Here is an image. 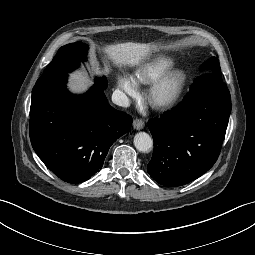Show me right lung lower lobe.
Segmentation results:
<instances>
[{
  "instance_id": "right-lung-lower-lobe-1",
  "label": "right lung lower lobe",
  "mask_w": 255,
  "mask_h": 255,
  "mask_svg": "<svg viewBox=\"0 0 255 255\" xmlns=\"http://www.w3.org/2000/svg\"><path fill=\"white\" fill-rule=\"evenodd\" d=\"M67 73L43 74L32 90L30 140L57 177L68 183L88 180L103 165L110 146L132 125L112 108L104 89L94 85L83 95L66 88Z\"/></svg>"
}]
</instances>
